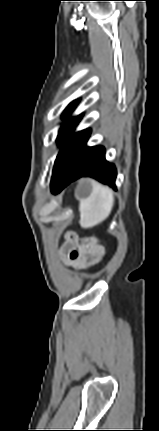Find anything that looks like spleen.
<instances>
[{
  "label": "spleen",
  "mask_w": 159,
  "mask_h": 431,
  "mask_svg": "<svg viewBox=\"0 0 159 431\" xmlns=\"http://www.w3.org/2000/svg\"><path fill=\"white\" fill-rule=\"evenodd\" d=\"M113 205V191L107 186L95 183L91 195L80 200L81 227L90 228L103 222L110 215Z\"/></svg>",
  "instance_id": "3e777b00"
}]
</instances>
